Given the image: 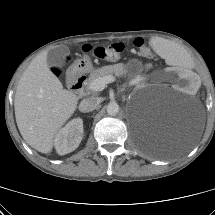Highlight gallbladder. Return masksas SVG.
Segmentation results:
<instances>
[{"instance_id":"bac80fb5","label":"gallbladder","mask_w":215,"mask_h":215,"mask_svg":"<svg viewBox=\"0 0 215 215\" xmlns=\"http://www.w3.org/2000/svg\"><path fill=\"white\" fill-rule=\"evenodd\" d=\"M69 55L67 46H60L50 50L47 54V64L51 68L61 67L63 60Z\"/></svg>"}]
</instances>
